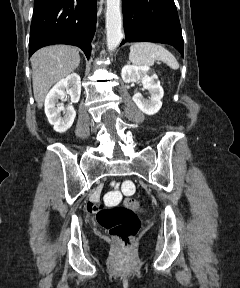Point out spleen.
<instances>
[{
    "label": "spleen",
    "instance_id": "obj_1",
    "mask_svg": "<svg viewBox=\"0 0 240 288\" xmlns=\"http://www.w3.org/2000/svg\"><path fill=\"white\" fill-rule=\"evenodd\" d=\"M129 60L138 66H152L156 60H161L172 69L179 68L176 58L167 49L151 42H139L131 45Z\"/></svg>",
    "mask_w": 240,
    "mask_h": 288
}]
</instances>
